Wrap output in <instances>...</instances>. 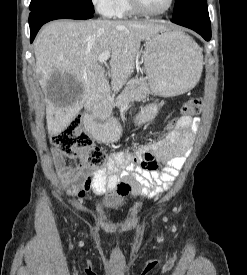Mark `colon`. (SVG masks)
<instances>
[{
  "label": "colon",
  "instance_id": "obj_1",
  "mask_svg": "<svg viewBox=\"0 0 247 275\" xmlns=\"http://www.w3.org/2000/svg\"><path fill=\"white\" fill-rule=\"evenodd\" d=\"M202 106L203 101L200 97H192L183 104L181 113L188 117L197 115L201 112ZM51 141L69 158L84 159L93 170L101 169L106 162L104 152L99 147L93 146V141L84 131L79 118L74 119L63 131L55 134ZM117 191L121 195L128 194L130 186L120 183Z\"/></svg>",
  "mask_w": 247,
  "mask_h": 275
}]
</instances>
